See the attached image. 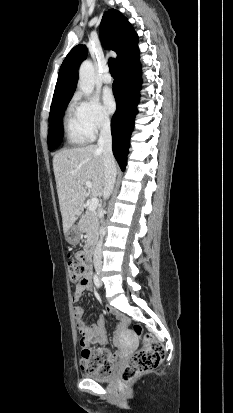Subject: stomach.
I'll list each match as a JSON object with an SVG mask.
<instances>
[{
    "label": "stomach",
    "instance_id": "0dacf381",
    "mask_svg": "<svg viewBox=\"0 0 233 413\" xmlns=\"http://www.w3.org/2000/svg\"><path fill=\"white\" fill-rule=\"evenodd\" d=\"M80 236L81 231L79 229V226L75 224L68 230L66 234V240L69 244L76 245L80 240Z\"/></svg>",
    "mask_w": 233,
    "mask_h": 413
}]
</instances>
